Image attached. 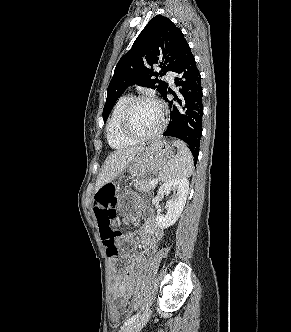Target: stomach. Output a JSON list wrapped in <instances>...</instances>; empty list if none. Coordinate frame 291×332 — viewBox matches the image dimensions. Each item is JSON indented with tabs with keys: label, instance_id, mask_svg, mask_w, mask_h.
<instances>
[{
	"label": "stomach",
	"instance_id": "stomach-1",
	"mask_svg": "<svg viewBox=\"0 0 291 332\" xmlns=\"http://www.w3.org/2000/svg\"><path fill=\"white\" fill-rule=\"evenodd\" d=\"M174 157L170 144L166 141H155L140 150L128 166V172L133 177H144L150 172L162 169ZM121 181V180H120ZM116 184L119 191L116 208L124 213L130 204L138 201L139 197Z\"/></svg>",
	"mask_w": 291,
	"mask_h": 332
}]
</instances>
